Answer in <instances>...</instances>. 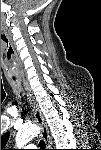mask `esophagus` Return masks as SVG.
<instances>
[{"mask_svg": "<svg viewBox=\"0 0 101 150\" xmlns=\"http://www.w3.org/2000/svg\"><path fill=\"white\" fill-rule=\"evenodd\" d=\"M23 83H24L25 90L27 91L28 99H29V101L33 107L35 119L41 128V137L44 140L46 146H48V129H47V126L45 124L44 117H43L42 112L40 111V109L38 107V104L36 103L34 97L31 94V91L29 89L27 82L24 81Z\"/></svg>", "mask_w": 101, "mask_h": 150, "instance_id": "34e87169", "label": "esophagus"}]
</instances>
